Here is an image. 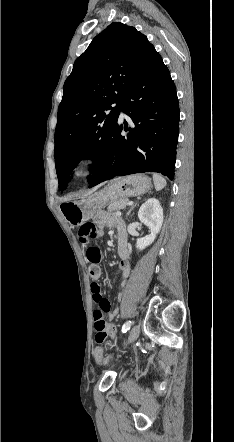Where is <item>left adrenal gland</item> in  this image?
Wrapping results in <instances>:
<instances>
[{
  "label": "left adrenal gland",
  "instance_id": "left-adrenal-gland-1",
  "mask_svg": "<svg viewBox=\"0 0 234 442\" xmlns=\"http://www.w3.org/2000/svg\"><path fill=\"white\" fill-rule=\"evenodd\" d=\"M136 206V204L134 206H132V208L128 211L127 216L130 214V212L132 211V209Z\"/></svg>",
  "mask_w": 234,
  "mask_h": 442
}]
</instances>
